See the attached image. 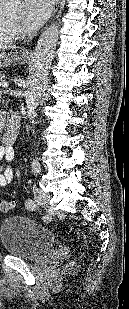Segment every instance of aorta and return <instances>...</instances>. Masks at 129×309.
I'll return each mask as SVG.
<instances>
[{
  "label": "aorta",
  "mask_w": 129,
  "mask_h": 309,
  "mask_svg": "<svg viewBox=\"0 0 129 309\" xmlns=\"http://www.w3.org/2000/svg\"><path fill=\"white\" fill-rule=\"evenodd\" d=\"M16 0H10L8 9H16ZM59 23L48 26L35 47L28 88L25 96V109L28 115L35 113L45 91L49 69L54 58L55 49L59 39Z\"/></svg>",
  "instance_id": "762f6f07"
}]
</instances>
